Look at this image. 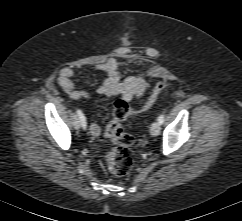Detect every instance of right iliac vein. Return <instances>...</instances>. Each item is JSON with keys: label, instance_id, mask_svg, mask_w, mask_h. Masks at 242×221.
Returning <instances> with one entry per match:
<instances>
[{"label": "right iliac vein", "instance_id": "obj_1", "mask_svg": "<svg viewBox=\"0 0 242 221\" xmlns=\"http://www.w3.org/2000/svg\"><path fill=\"white\" fill-rule=\"evenodd\" d=\"M73 125L76 129H79L81 127V122H80L79 118H75Z\"/></svg>", "mask_w": 242, "mask_h": 221}]
</instances>
